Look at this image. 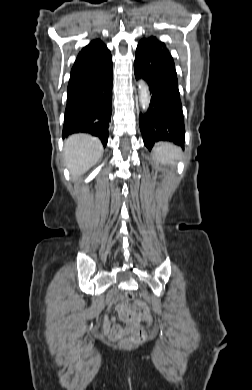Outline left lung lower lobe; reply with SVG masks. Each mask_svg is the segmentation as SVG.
<instances>
[{
	"instance_id": "obj_1",
	"label": "left lung lower lobe",
	"mask_w": 252,
	"mask_h": 390,
	"mask_svg": "<svg viewBox=\"0 0 252 390\" xmlns=\"http://www.w3.org/2000/svg\"><path fill=\"white\" fill-rule=\"evenodd\" d=\"M134 72L152 94L149 108L140 115L139 126L145 146L151 150L160 140L183 147L185 124L178 78L171 55L156 43L141 40L136 49Z\"/></svg>"
}]
</instances>
